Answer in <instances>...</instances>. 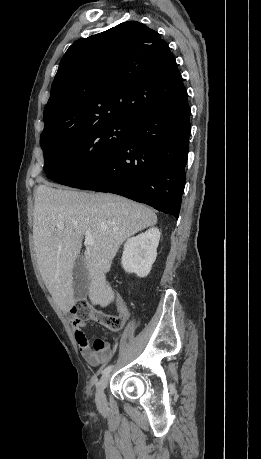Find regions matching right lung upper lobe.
Here are the masks:
<instances>
[{
  "label": "right lung upper lobe",
  "instance_id": "1",
  "mask_svg": "<svg viewBox=\"0 0 261 459\" xmlns=\"http://www.w3.org/2000/svg\"><path fill=\"white\" fill-rule=\"evenodd\" d=\"M175 57L160 35L135 21L74 42L61 59L44 109L46 133L138 119L185 91Z\"/></svg>",
  "mask_w": 261,
  "mask_h": 459
}]
</instances>
